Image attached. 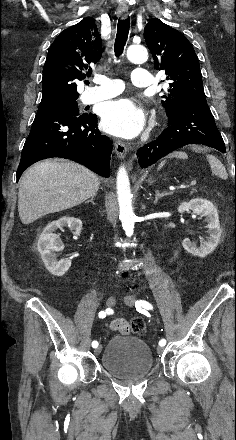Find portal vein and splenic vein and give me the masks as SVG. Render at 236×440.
I'll return each instance as SVG.
<instances>
[{
	"instance_id": "obj_1",
	"label": "portal vein and splenic vein",
	"mask_w": 236,
	"mask_h": 440,
	"mask_svg": "<svg viewBox=\"0 0 236 440\" xmlns=\"http://www.w3.org/2000/svg\"><path fill=\"white\" fill-rule=\"evenodd\" d=\"M195 184H196V180H193V181L190 183L191 186H193V185H195Z\"/></svg>"
}]
</instances>
